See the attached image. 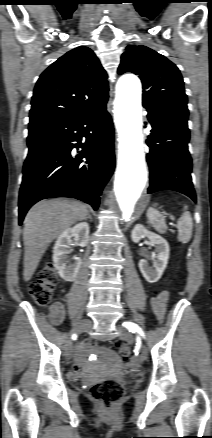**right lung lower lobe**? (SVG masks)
Wrapping results in <instances>:
<instances>
[{"instance_id":"1","label":"right lung lower lobe","mask_w":212,"mask_h":438,"mask_svg":"<svg viewBox=\"0 0 212 438\" xmlns=\"http://www.w3.org/2000/svg\"><path fill=\"white\" fill-rule=\"evenodd\" d=\"M85 139V143L81 141ZM113 124L106 105L79 117L29 125L19 194V224L41 199L71 197L97 210L115 168Z\"/></svg>"}]
</instances>
